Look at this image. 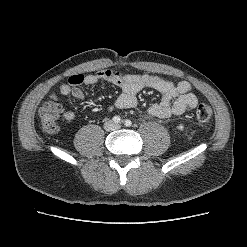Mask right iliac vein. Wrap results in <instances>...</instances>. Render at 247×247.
Listing matches in <instances>:
<instances>
[{
    "mask_svg": "<svg viewBox=\"0 0 247 247\" xmlns=\"http://www.w3.org/2000/svg\"><path fill=\"white\" fill-rule=\"evenodd\" d=\"M106 127H107V128H111V127H112V124H111L110 122H108V123L106 124Z\"/></svg>",
    "mask_w": 247,
    "mask_h": 247,
    "instance_id": "63e3f726",
    "label": "right iliac vein"
}]
</instances>
